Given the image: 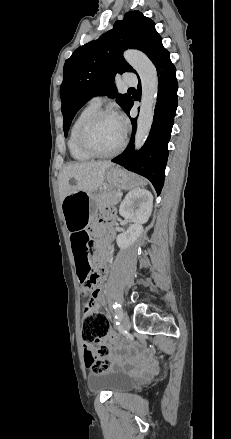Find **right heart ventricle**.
Wrapping results in <instances>:
<instances>
[{"label":"right heart ventricle","mask_w":231,"mask_h":439,"mask_svg":"<svg viewBox=\"0 0 231 439\" xmlns=\"http://www.w3.org/2000/svg\"><path fill=\"white\" fill-rule=\"evenodd\" d=\"M98 110V106L92 103L87 104L75 117L69 131L67 146L70 155L77 161H87L91 157L86 154L78 145L77 133L82 122L94 111Z\"/></svg>","instance_id":"right-heart-ventricle-1"}]
</instances>
